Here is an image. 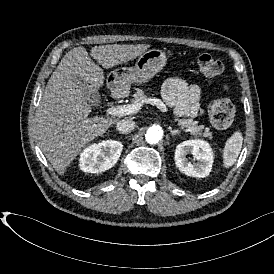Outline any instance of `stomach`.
<instances>
[{"instance_id": "stomach-1", "label": "stomach", "mask_w": 274, "mask_h": 274, "mask_svg": "<svg viewBox=\"0 0 274 274\" xmlns=\"http://www.w3.org/2000/svg\"><path fill=\"white\" fill-rule=\"evenodd\" d=\"M166 61L164 51L150 49L140 55L135 66L128 72L112 71L107 78V88L113 93L122 95L129 90L131 84L142 85L148 82L163 69Z\"/></svg>"}]
</instances>
